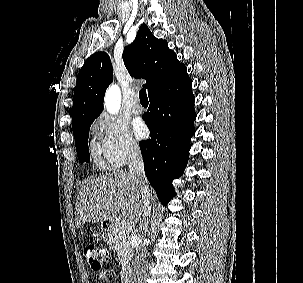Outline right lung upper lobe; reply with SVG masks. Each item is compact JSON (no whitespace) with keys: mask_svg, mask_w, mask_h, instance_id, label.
<instances>
[{"mask_svg":"<svg viewBox=\"0 0 303 283\" xmlns=\"http://www.w3.org/2000/svg\"><path fill=\"white\" fill-rule=\"evenodd\" d=\"M123 61L131 76L146 79L148 96L162 90L187 73L184 64L142 24L133 43L123 51ZM113 80L110 58L105 52L90 56L79 71L72 107V128L94 120L103 109L104 94Z\"/></svg>","mask_w":303,"mask_h":283,"instance_id":"obj_1","label":"right lung upper lobe"}]
</instances>
